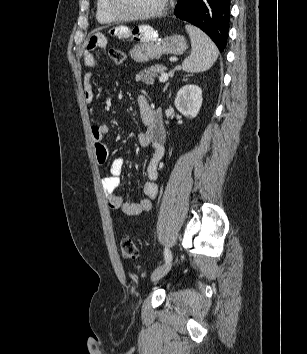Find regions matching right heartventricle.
<instances>
[{"instance_id": "1", "label": "right heart ventricle", "mask_w": 307, "mask_h": 354, "mask_svg": "<svg viewBox=\"0 0 307 354\" xmlns=\"http://www.w3.org/2000/svg\"><path fill=\"white\" fill-rule=\"evenodd\" d=\"M96 18L98 22L103 24H110L117 20L110 14L107 7V0L96 1Z\"/></svg>"}]
</instances>
